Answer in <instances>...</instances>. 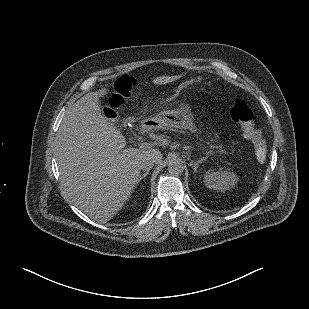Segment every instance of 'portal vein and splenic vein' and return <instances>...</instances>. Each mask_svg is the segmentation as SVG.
Instances as JSON below:
<instances>
[{"label": "portal vein and splenic vein", "mask_w": 309, "mask_h": 309, "mask_svg": "<svg viewBox=\"0 0 309 309\" xmlns=\"http://www.w3.org/2000/svg\"><path fill=\"white\" fill-rule=\"evenodd\" d=\"M154 145H155V142H143V143L138 144L139 148H142V149H149V148H152Z\"/></svg>", "instance_id": "18ae733b"}]
</instances>
